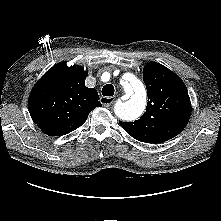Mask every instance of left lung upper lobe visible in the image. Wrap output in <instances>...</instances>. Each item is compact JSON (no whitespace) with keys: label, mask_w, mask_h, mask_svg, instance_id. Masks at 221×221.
Here are the masks:
<instances>
[{"label":"left lung upper lobe","mask_w":221,"mask_h":221,"mask_svg":"<svg viewBox=\"0 0 221 221\" xmlns=\"http://www.w3.org/2000/svg\"><path fill=\"white\" fill-rule=\"evenodd\" d=\"M148 94L146 112L134 122L120 125L134 139L145 143H161L178 135L191 115V102L180 77L158 63L143 69Z\"/></svg>","instance_id":"obj_1"}]
</instances>
